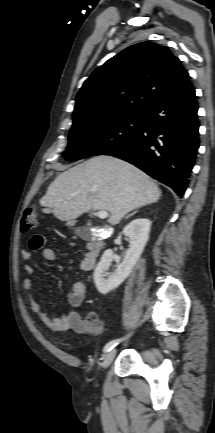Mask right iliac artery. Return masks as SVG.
<instances>
[{"instance_id": "obj_1", "label": "right iliac artery", "mask_w": 215, "mask_h": 433, "mask_svg": "<svg viewBox=\"0 0 215 433\" xmlns=\"http://www.w3.org/2000/svg\"><path fill=\"white\" fill-rule=\"evenodd\" d=\"M122 340H124V338H120V339H116V340H112L110 342H108L103 351L106 353L108 351H110L111 349H113L117 344H119V342H121Z\"/></svg>"}]
</instances>
